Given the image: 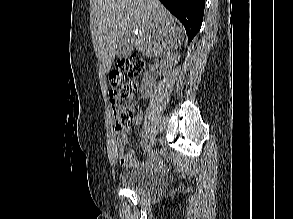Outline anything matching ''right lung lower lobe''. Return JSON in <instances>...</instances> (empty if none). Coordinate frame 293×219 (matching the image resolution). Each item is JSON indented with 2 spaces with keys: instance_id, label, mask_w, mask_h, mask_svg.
I'll use <instances>...</instances> for the list:
<instances>
[{
  "instance_id": "obj_1",
  "label": "right lung lower lobe",
  "mask_w": 293,
  "mask_h": 219,
  "mask_svg": "<svg viewBox=\"0 0 293 219\" xmlns=\"http://www.w3.org/2000/svg\"><path fill=\"white\" fill-rule=\"evenodd\" d=\"M163 5L175 15L186 29L188 40L191 41L199 31L205 0H160Z\"/></svg>"
}]
</instances>
